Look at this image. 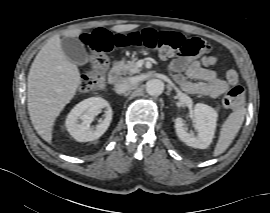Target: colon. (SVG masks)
Here are the masks:
<instances>
[{
  "instance_id": "obj_1",
  "label": "colon",
  "mask_w": 270,
  "mask_h": 213,
  "mask_svg": "<svg viewBox=\"0 0 270 213\" xmlns=\"http://www.w3.org/2000/svg\"><path fill=\"white\" fill-rule=\"evenodd\" d=\"M82 42L88 48L91 64L81 75L80 88L83 91H97L104 88L105 75L110 66L108 53L114 47L128 45L146 46L155 49L160 56H171L179 52L185 56L193 57L204 49V42L199 38H190L176 32L166 30L144 29L141 32L112 35L105 28H98L82 37ZM228 82L237 80V73L228 70L224 74ZM244 89L237 85L232 87L222 97V106L225 109H237L242 104Z\"/></svg>"
}]
</instances>
